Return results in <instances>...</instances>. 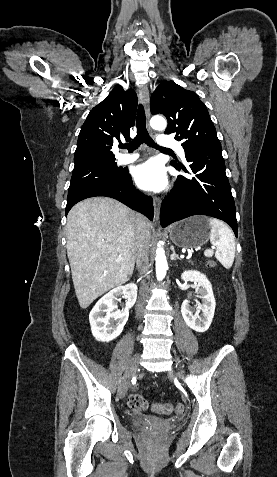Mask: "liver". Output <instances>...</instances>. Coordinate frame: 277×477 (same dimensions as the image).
<instances>
[{
	"label": "liver",
	"instance_id": "6515ba94",
	"mask_svg": "<svg viewBox=\"0 0 277 477\" xmlns=\"http://www.w3.org/2000/svg\"><path fill=\"white\" fill-rule=\"evenodd\" d=\"M136 218L134 211L108 197L86 199L68 213L66 248L81 308L132 276Z\"/></svg>",
	"mask_w": 277,
	"mask_h": 477
}]
</instances>
